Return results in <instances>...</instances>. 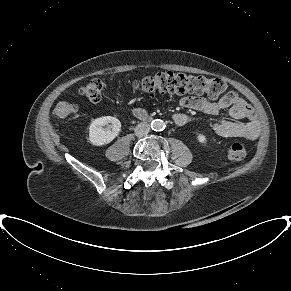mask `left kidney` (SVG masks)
Wrapping results in <instances>:
<instances>
[{
  "label": "left kidney",
  "instance_id": "5707ae66",
  "mask_svg": "<svg viewBox=\"0 0 291 291\" xmlns=\"http://www.w3.org/2000/svg\"><path fill=\"white\" fill-rule=\"evenodd\" d=\"M197 140H198V142H200V143H206V141H207L206 136L203 135V134H198V135H197Z\"/></svg>",
  "mask_w": 291,
  "mask_h": 291
}]
</instances>
